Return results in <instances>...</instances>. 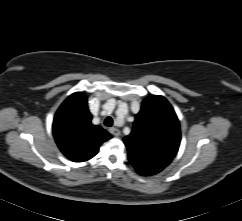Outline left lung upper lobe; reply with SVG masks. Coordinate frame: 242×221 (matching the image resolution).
I'll return each mask as SVG.
<instances>
[{
	"instance_id": "obj_1",
	"label": "left lung upper lobe",
	"mask_w": 242,
	"mask_h": 221,
	"mask_svg": "<svg viewBox=\"0 0 242 221\" xmlns=\"http://www.w3.org/2000/svg\"><path fill=\"white\" fill-rule=\"evenodd\" d=\"M181 134L177 115L163 96L142 102L133 130L124 138L129 159L166 167L176 155Z\"/></svg>"
}]
</instances>
